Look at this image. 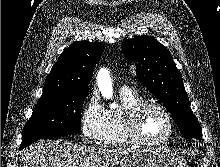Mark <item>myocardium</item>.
Masks as SVG:
<instances>
[{
  "label": "myocardium",
  "mask_w": 220,
  "mask_h": 167,
  "mask_svg": "<svg viewBox=\"0 0 220 167\" xmlns=\"http://www.w3.org/2000/svg\"><path fill=\"white\" fill-rule=\"evenodd\" d=\"M154 108L159 110L167 119L169 124V133L162 139L149 140L141 132V121L147 110ZM128 130L130 136L141 145L160 146L167 143L175 133V122L170 112L160 103L144 102L134 107L128 116Z\"/></svg>",
  "instance_id": "obj_1"
}]
</instances>
